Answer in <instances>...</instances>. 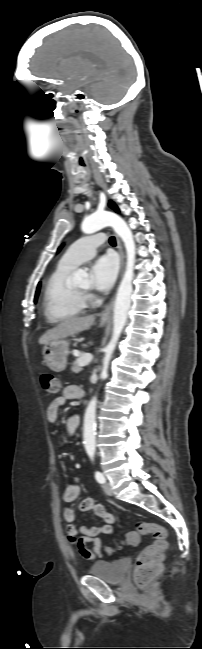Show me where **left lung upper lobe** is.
Masks as SVG:
<instances>
[{
	"label": "left lung upper lobe",
	"instance_id": "5c2ea615",
	"mask_svg": "<svg viewBox=\"0 0 202 649\" xmlns=\"http://www.w3.org/2000/svg\"><path fill=\"white\" fill-rule=\"evenodd\" d=\"M109 207H111L112 209H114L116 212H119V208H118L117 205H115L113 202H110V203H109ZM60 249H61V247L59 248V250H60Z\"/></svg>",
	"mask_w": 202,
	"mask_h": 649
}]
</instances>
